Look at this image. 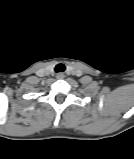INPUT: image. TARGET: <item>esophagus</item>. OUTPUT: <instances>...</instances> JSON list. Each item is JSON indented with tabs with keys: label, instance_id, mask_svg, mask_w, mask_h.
<instances>
[{
	"label": "esophagus",
	"instance_id": "1",
	"mask_svg": "<svg viewBox=\"0 0 134 159\" xmlns=\"http://www.w3.org/2000/svg\"><path fill=\"white\" fill-rule=\"evenodd\" d=\"M64 77H65L64 73L61 72L56 75L57 79H63Z\"/></svg>",
	"mask_w": 134,
	"mask_h": 159
}]
</instances>
